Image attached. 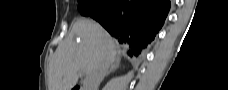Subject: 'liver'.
<instances>
[{
    "label": "liver",
    "mask_w": 228,
    "mask_h": 90,
    "mask_svg": "<svg viewBox=\"0 0 228 90\" xmlns=\"http://www.w3.org/2000/svg\"><path fill=\"white\" fill-rule=\"evenodd\" d=\"M116 54L114 40L98 23L76 20L50 61L49 90H72L78 81V72L83 71L87 77L101 59L115 62Z\"/></svg>",
    "instance_id": "liver-1"
}]
</instances>
